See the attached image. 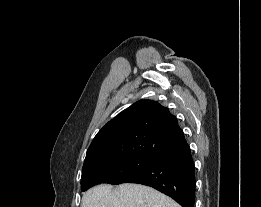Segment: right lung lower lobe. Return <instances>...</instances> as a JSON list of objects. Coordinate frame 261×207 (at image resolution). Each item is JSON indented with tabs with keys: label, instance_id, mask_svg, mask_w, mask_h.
I'll use <instances>...</instances> for the list:
<instances>
[{
	"label": "right lung lower lobe",
	"instance_id": "obj_1",
	"mask_svg": "<svg viewBox=\"0 0 261 207\" xmlns=\"http://www.w3.org/2000/svg\"><path fill=\"white\" fill-rule=\"evenodd\" d=\"M126 182L153 187L173 198L182 207H194L196 180L190 147L160 158L121 183Z\"/></svg>",
	"mask_w": 261,
	"mask_h": 207
}]
</instances>
